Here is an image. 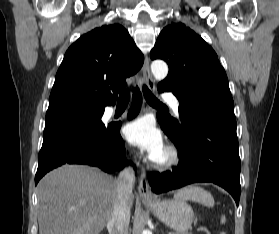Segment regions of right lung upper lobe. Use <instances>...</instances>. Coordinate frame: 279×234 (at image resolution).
Returning a JSON list of instances; mask_svg holds the SVG:
<instances>
[{
    "label": "right lung upper lobe",
    "mask_w": 279,
    "mask_h": 234,
    "mask_svg": "<svg viewBox=\"0 0 279 234\" xmlns=\"http://www.w3.org/2000/svg\"><path fill=\"white\" fill-rule=\"evenodd\" d=\"M143 62L141 51L123 26L95 28L66 51L48 109L67 105L105 108L116 102L117 92L127 85L126 77L135 74Z\"/></svg>",
    "instance_id": "obj_1"
}]
</instances>
